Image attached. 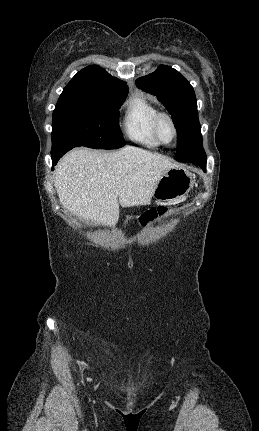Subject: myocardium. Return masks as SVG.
<instances>
[{"mask_svg":"<svg viewBox=\"0 0 259 431\" xmlns=\"http://www.w3.org/2000/svg\"><path fill=\"white\" fill-rule=\"evenodd\" d=\"M163 120H166L169 122V124L172 128V132H173L172 138L168 142L164 141L160 135V124ZM153 132H154V136L157 139V141L162 145H169L172 142H174L175 139L177 138V126H176V123H175L174 119L172 118V116L167 112H160L159 111L156 114L154 121H153Z\"/></svg>","mask_w":259,"mask_h":431,"instance_id":"1","label":"myocardium"}]
</instances>
